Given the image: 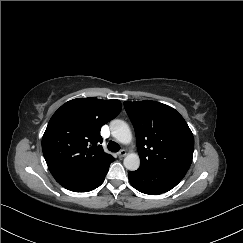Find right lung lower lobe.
<instances>
[{
	"mask_svg": "<svg viewBox=\"0 0 243 243\" xmlns=\"http://www.w3.org/2000/svg\"><path fill=\"white\" fill-rule=\"evenodd\" d=\"M114 159L100 163L91 171L76 177L59 182L64 188L74 192H88L100 186L108 172L110 164Z\"/></svg>",
	"mask_w": 243,
	"mask_h": 243,
	"instance_id": "right-lung-lower-lobe-1",
	"label": "right lung lower lobe"
}]
</instances>
